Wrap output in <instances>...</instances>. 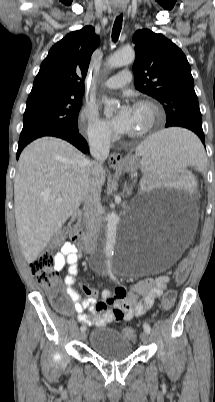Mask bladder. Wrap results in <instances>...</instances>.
<instances>
[{"mask_svg": "<svg viewBox=\"0 0 215 402\" xmlns=\"http://www.w3.org/2000/svg\"><path fill=\"white\" fill-rule=\"evenodd\" d=\"M89 347L96 356L108 361L123 360L133 353L131 340L109 327L94 329L89 337Z\"/></svg>", "mask_w": 215, "mask_h": 402, "instance_id": "31cf9c89", "label": "bladder"}]
</instances>
